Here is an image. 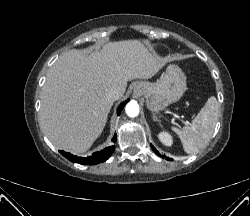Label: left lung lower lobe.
Here are the masks:
<instances>
[{"label":"left lung lower lobe","instance_id":"obj_1","mask_svg":"<svg viewBox=\"0 0 250 216\" xmlns=\"http://www.w3.org/2000/svg\"><path fill=\"white\" fill-rule=\"evenodd\" d=\"M151 148H152V150H153L157 155L160 156L159 152L156 150V148H155L153 145H151ZM162 157H164V156H162ZM167 160H172V159L167 158Z\"/></svg>","mask_w":250,"mask_h":216}]
</instances>
